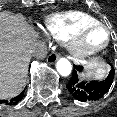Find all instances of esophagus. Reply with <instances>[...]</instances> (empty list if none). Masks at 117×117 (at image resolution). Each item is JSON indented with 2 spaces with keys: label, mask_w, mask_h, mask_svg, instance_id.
Listing matches in <instances>:
<instances>
[{
  "label": "esophagus",
  "mask_w": 117,
  "mask_h": 117,
  "mask_svg": "<svg viewBox=\"0 0 117 117\" xmlns=\"http://www.w3.org/2000/svg\"><path fill=\"white\" fill-rule=\"evenodd\" d=\"M58 58H59V54L56 52H53L47 57V62L50 64L55 63Z\"/></svg>",
  "instance_id": "esophagus-1"
}]
</instances>
